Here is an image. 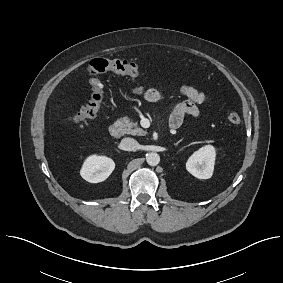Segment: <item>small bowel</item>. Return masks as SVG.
<instances>
[{
    "instance_id": "obj_1",
    "label": "small bowel",
    "mask_w": 283,
    "mask_h": 283,
    "mask_svg": "<svg viewBox=\"0 0 283 283\" xmlns=\"http://www.w3.org/2000/svg\"><path fill=\"white\" fill-rule=\"evenodd\" d=\"M132 91L136 95L143 96L148 102H157L163 97L162 92L155 88L137 86ZM178 92L187 99L175 106L169 120V126L172 129H178L186 116L198 117L200 114L199 105L208 101V97L204 93L189 85L181 86Z\"/></svg>"
}]
</instances>
